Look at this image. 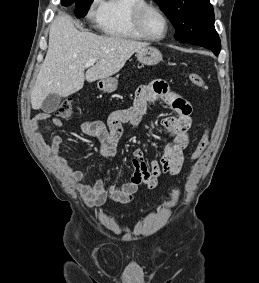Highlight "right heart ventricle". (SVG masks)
<instances>
[{"mask_svg": "<svg viewBox=\"0 0 259 283\" xmlns=\"http://www.w3.org/2000/svg\"><path fill=\"white\" fill-rule=\"evenodd\" d=\"M146 0H107L99 22L101 31L119 39H144L135 27L133 12Z\"/></svg>", "mask_w": 259, "mask_h": 283, "instance_id": "e07e8e85", "label": "right heart ventricle"}]
</instances>
